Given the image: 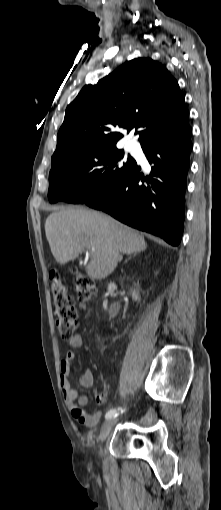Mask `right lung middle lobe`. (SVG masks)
I'll return each instance as SVG.
<instances>
[{
  "label": "right lung middle lobe",
  "mask_w": 221,
  "mask_h": 510,
  "mask_svg": "<svg viewBox=\"0 0 221 510\" xmlns=\"http://www.w3.org/2000/svg\"><path fill=\"white\" fill-rule=\"evenodd\" d=\"M137 166L116 145H103L76 151L52 166L48 198L51 203L63 200L85 203L124 180Z\"/></svg>",
  "instance_id": "obj_1"
}]
</instances>
